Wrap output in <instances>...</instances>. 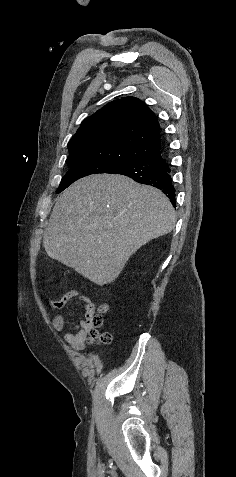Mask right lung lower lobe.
Returning <instances> with one entry per match:
<instances>
[{"instance_id":"98d812e1","label":"right lung lower lobe","mask_w":236,"mask_h":477,"mask_svg":"<svg viewBox=\"0 0 236 477\" xmlns=\"http://www.w3.org/2000/svg\"><path fill=\"white\" fill-rule=\"evenodd\" d=\"M114 174L125 175L138 183L160 189L175 205V188L172 183L170 168L163 158L161 149L132 164L121 167Z\"/></svg>"}]
</instances>
